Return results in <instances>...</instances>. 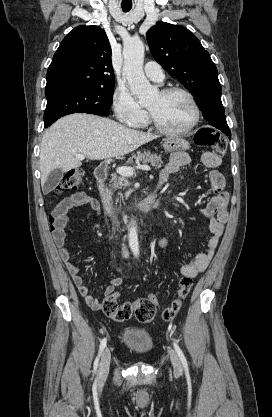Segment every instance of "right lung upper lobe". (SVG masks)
Here are the masks:
<instances>
[{
    "label": "right lung upper lobe",
    "instance_id": "cb5924a9",
    "mask_svg": "<svg viewBox=\"0 0 272 417\" xmlns=\"http://www.w3.org/2000/svg\"><path fill=\"white\" fill-rule=\"evenodd\" d=\"M114 85L111 47L99 26H78L62 40L47 71L46 91Z\"/></svg>",
    "mask_w": 272,
    "mask_h": 417
}]
</instances>
